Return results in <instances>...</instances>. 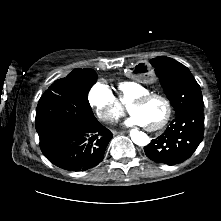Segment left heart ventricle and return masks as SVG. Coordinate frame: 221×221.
<instances>
[{
	"label": "left heart ventricle",
	"mask_w": 221,
	"mask_h": 221,
	"mask_svg": "<svg viewBox=\"0 0 221 221\" xmlns=\"http://www.w3.org/2000/svg\"><path fill=\"white\" fill-rule=\"evenodd\" d=\"M166 104L159 98H153L143 105L131 108L132 114L143 119L146 126H155L162 121L166 114Z\"/></svg>",
	"instance_id": "b2bd125f"
}]
</instances>
